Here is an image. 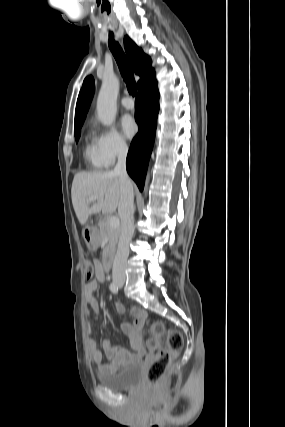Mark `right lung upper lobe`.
<instances>
[{"label":"right lung upper lobe","instance_id":"right-lung-upper-lobe-1","mask_svg":"<svg viewBox=\"0 0 285 427\" xmlns=\"http://www.w3.org/2000/svg\"><path fill=\"white\" fill-rule=\"evenodd\" d=\"M124 46L132 68L134 69L135 73L140 76V80L138 81L139 88L146 80L155 75L154 69L151 66V59L145 55L142 49L136 46V44L128 36L124 38ZM93 94L94 79L92 76H88L83 82L77 100L75 112V129L82 126Z\"/></svg>","mask_w":285,"mask_h":427}]
</instances>
